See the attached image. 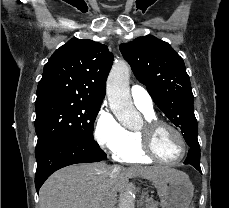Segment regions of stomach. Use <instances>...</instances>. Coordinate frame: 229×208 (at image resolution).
Segmentation results:
<instances>
[{
    "label": "stomach",
    "mask_w": 229,
    "mask_h": 208,
    "mask_svg": "<svg viewBox=\"0 0 229 208\" xmlns=\"http://www.w3.org/2000/svg\"><path fill=\"white\" fill-rule=\"evenodd\" d=\"M162 208H189L194 196V186L188 176L182 178H153Z\"/></svg>",
    "instance_id": "obj_1"
}]
</instances>
